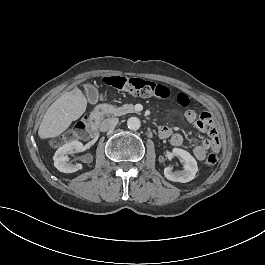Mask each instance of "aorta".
Returning a JSON list of instances; mask_svg holds the SVG:
<instances>
[{
    "instance_id": "aorta-1",
    "label": "aorta",
    "mask_w": 265,
    "mask_h": 265,
    "mask_svg": "<svg viewBox=\"0 0 265 265\" xmlns=\"http://www.w3.org/2000/svg\"><path fill=\"white\" fill-rule=\"evenodd\" d=\"M127 126L130 130L136 131L140 128L141 126V121L137 117H130L127 120Z\"/></svg>"
}]
</instances>
